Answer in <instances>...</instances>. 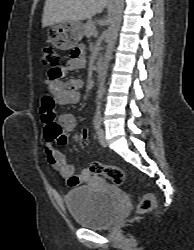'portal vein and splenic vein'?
Here are the masks:
<instances>
[{"instance_id":"18ae733b","label":"portal vein and splenic vein","mask_w":194,"mask_h":250,"mask_svg":"<svg viewBox=\"0 0 194 250\" xmlns=\"http://www.w3.org/2000/svg\"><path fill=\"white\" fill-rule=\"evenodd\" d=\"M97 34H98V32H97V31H95V32H94V35H97Z\"/></svg>"}]
</instances>
